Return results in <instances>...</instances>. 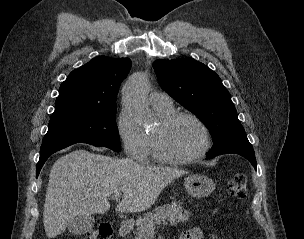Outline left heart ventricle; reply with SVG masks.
Returning a JSON list of instances; mask_svg holds the SVG:
<instances>
[{"label": "left heart ventricle", "instance_id": "obj_1", "mask_svg": "<svg viewBox=\"0 0 304 239\" xmlns=\"http://www.w3.org/2000/svg\"><path fill=\"white\" fill-rule=\"evenodd\" d=\"M203 145L199 126L188 118L177 120L161 134V151L173 158H185L197 153Z\"/></svg>", "mask_w": 304, "mask_h": 239}]
</instances>
